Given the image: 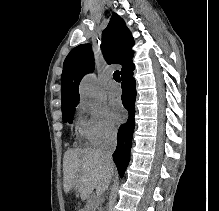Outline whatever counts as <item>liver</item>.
<instances>
[{
	"instance_id": "6515ba94",
	"label": "liver",
	"mask_w": 219,
	"mask_h": 211,
	"mask_svg": "<svg viewBox=\"0 0 219 211\" xmlns=\"http://www.w3.org/2000/svg\"><path fill=\"white\" fill-rule=\"evenodd\" d=\"M114 173V165L98 149H68L64 153L63 185L66 193L76 189L81 199H87L93 189H97L100 197V193L108 189ZM93 199L99 201L97 197Z\"/></svg>"
}]
</instances>
